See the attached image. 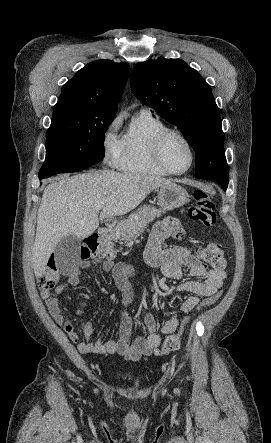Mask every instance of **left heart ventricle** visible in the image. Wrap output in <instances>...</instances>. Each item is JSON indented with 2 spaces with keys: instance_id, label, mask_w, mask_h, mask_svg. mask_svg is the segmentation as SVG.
Returning a JSON list of instances; mask_svg holds the SVG:
<instances>
[{
  "instance_id": "1",
  "label": "left heart ventricle",
  "mask_w": 271,
  "mask_h": 443,
  "mask_svg": "<svg viewBox=\"0 0 271 443\" xmlns=\"http://www.w3.org/2000/svg\"><path fill=\"white\" fill-rule=\"evenodd\" d=\"M163 157L169 167L174 170H183L191 162V153L188 145L177 135H171L165 141Z\"/></svg>"
}]
</instances>
